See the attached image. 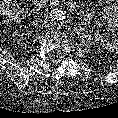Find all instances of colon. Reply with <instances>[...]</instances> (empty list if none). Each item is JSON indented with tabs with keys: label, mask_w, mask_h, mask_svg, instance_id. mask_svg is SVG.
Returning <instances> with one entry per match:
<instances>
[{
	"label": "colon",
	"mask_w": 118,
	"mask_h": 118,
	"mask_svg": "<svg viewBox=\"0 0 118 118\" xmlns=\"http://www.w3.org/2000/svg\"><path fill=\"white\" fill-rule=\"evenodd\" d=\"M31 9V0H2L0 2V16L6 19L25 15Z\"/></svg>",
	"instance_id": "5ec220e1"
}]
</instances>
